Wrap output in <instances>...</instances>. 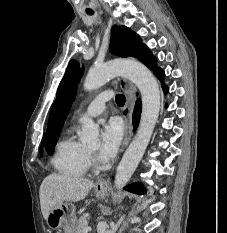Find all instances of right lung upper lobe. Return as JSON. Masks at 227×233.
<instances>
[{
    "mask_svg": "<svg viewBox=\"0 0 227 233\" xmlns=\"http://www.w3.org/2000/svg\"><path fill=\"white\" fill-rule=\"evenodd\" d=\"M43 142H44V139H43V141H42V145H43ZM41 150H42V148H41Z\"/></svg>",
    "mask_w": 227,
    "mask_h": 233,
    "instance_id": "1",
    "label": "right lung upper lobe"
}]
</instances>
